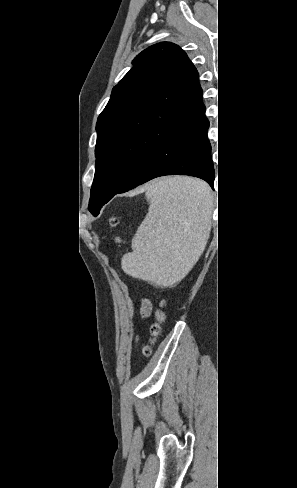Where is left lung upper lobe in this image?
Here are the masks:
<instances>
[{"mask_svg": "<svg viewBox=\"0 0 297 488\" xmlns=\"http://www.w3.org/2000/svg\"><path fill=\"white\" fill-rule=\"evenodd\" d=\"M99 115L89 211L97 216L138 167L205 106L198 72L176 44L142 51Z\"/></svg>", "mask_w": 297, "mask_h": 488, "instance_id": "5c2ea615", "label": "left lung upper lobe"}]
</instances>
